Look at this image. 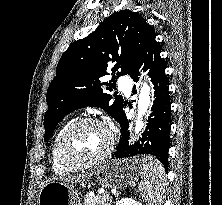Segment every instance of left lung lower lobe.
Listing matches in <instances>:
<instances>
[{"label":"left lung lower lobe","instance_id":"0a47b994","mask_svg":"<svg viewBox=\"0 0 222 205\" xmlns=\"http://www.w3.org/2000/svg\"><path fill=\"white\" fill-rule=\"evenodd\" d=\"M155 38L156 34L153 33L128 73L134 81H137L140 67L144 64L143 69H149V76L152 78L151 81L155 89V100L151 109L152 113L149 116V123L140 142L137 141L133 146H129V121L122 110L117 119L121 126V139L112 158L122 159L148 153L156 156L166 167L170 148L171 102L168 91L169 80L165 74L166 65L163 58L160 57V46Z\"/></svg>","mask_w":222,"mask_h":205}]
</instances>
